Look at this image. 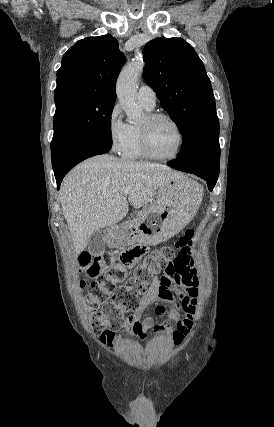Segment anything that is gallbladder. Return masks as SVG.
I'll use <instances>...</instances> for the list:
<instances>
[{
	"label": "gallbladder",
	"instance_id": "bac80fb5",
	"mask_svg": "<svg viewBox=\"0 0 274 427\" xmlns=\"http://www.w3.org/2000/svg\"><path fill=\"white\" fill-rule=\"evenodd\" d=\"M88 251L92 255H101L105 251V239L102 231H94L88 239Z\"/></svg>",
	"mask_w": 274,
	"mask_h": 427
}]
</instances>
